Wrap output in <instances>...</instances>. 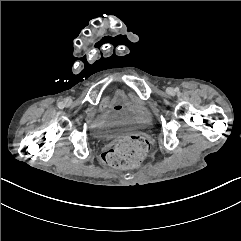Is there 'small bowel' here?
I'll list each match as a JSON object with an SVG mask.
<instances>
[{
	"label": "small bowel",
	"instance_id": "obj_1",
	"mask_svg": "<svg viewBox=\"0 0 241 241\" xmlns=\"http://www.w3.org/2000/svg\"><path fill=\"white\" fill-rule=\"evenodd\" d=\"M139 113L145 122H148L150 120V115L147 109L141 107L139 108Z\"/></svg>",
	"mask_w": 241,
	"mask_h": 241
}]
</instances>
